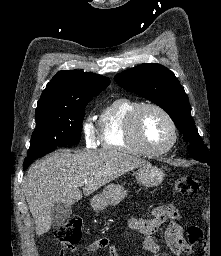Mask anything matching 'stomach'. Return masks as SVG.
<instances>
[{
    "label": "stomach",
    "instance_id": "0dacf381",
    "mask_svg": "<svg viewBox=\"0 0 221 256\" xmlns=\"http://www.w3.org/2000/svg\"><path fill=\"white\" fill-rule=\"evenodd\" d=\"M164 171L151 164L143 165L135 172L136 181L145 187H154L162 183ZM126 196V190L122 185L110 184L106 186L102 193L95 195L90 204L95 211H102L108 206L120 203Z\"/></svg>",
    "mask_w": 221,
    "mask_h": 256
}]
</instances>
